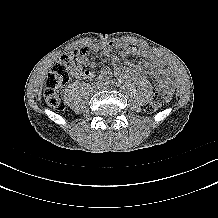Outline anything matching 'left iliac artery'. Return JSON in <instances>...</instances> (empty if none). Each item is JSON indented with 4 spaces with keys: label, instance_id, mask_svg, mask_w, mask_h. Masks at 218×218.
Here are the masks:
<instances>
[{
    "label": "left iliac artery",
    "instance_id": "44dca946",
    "mask_svg": "<svg viewBox=\"0 0 218 218\" xmlns=\"http://www.w3.org/2000/svg\"><path fill=\"white\" fill-rule=\"evenodd\" d=\"M107 84H113V82L109 79H107Z\"/></svg>",
    "mask_w": 218,
    "mask_h": 218
}]
</instances>
